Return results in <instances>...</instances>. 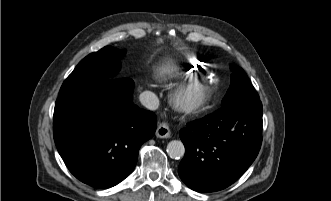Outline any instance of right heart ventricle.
<instances>
[{
    "instance_id": "e07e8e85",
    "label": "right heart ventricle",
    "mask_w": 331,
    "mask_h": 201,
    "mask_svg": "<svg viewBox=\"0 0 331 201\" xmlns=\"http://www.w3.org/2000/svg\"><path fill=\"white\" fill-rule=\"evenodd\" d=\"M200 68L194 62L182 63L176 67L167 68L159 71L156 78L160 81H171L180 76L196 78L200 74Z\"/></svg>"
}]
</instances>
